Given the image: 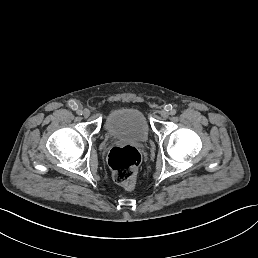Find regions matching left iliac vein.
Instances as JSON below:
<instances>
[{"label": "left iliac vein", "mask_w": 258, "mask_h": 258, "mask_svg": "<svg viewBox=\"0 0 258 258\" xmlns=\"http://www.w3.org/2000/svg\"><path fill=\"white\" fill-rule=\"evenodd\" d=\"M162 119L164 121H167L169 119V114L168 113H165L163 116H162Z\"/></svg>", "instance_id": "1"}]
</instances>
